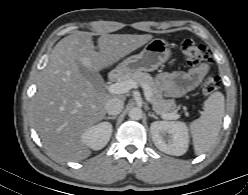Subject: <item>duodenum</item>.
Listing matches in <instances>:
<instances>
[{
    "mask_svg": "<svg viewBox=\"0 0 248 195\" xmlns=\"http://www.w3.org/2000/svg\"><path fill=\"white\" fill-rule=\"evenodd\" d=\"M119 74H120V72L117 70L111 72L108 76V81H110V82L114 81L119 76Z\"/></svg>",
    "mask_w": 248,
    "mask_h": 195,
    "instance_id": "obj_1",
    "label": "duodenum"
}]
</instances>
